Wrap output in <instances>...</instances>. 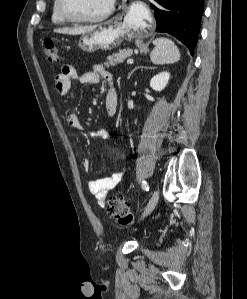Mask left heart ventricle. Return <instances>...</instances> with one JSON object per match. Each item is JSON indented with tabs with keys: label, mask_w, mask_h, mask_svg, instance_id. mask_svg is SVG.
Returning a JSON list of instances; mask_svg holds the SVG:
<instances>
[{
	"label": "left heart ventricle",
	"mask_w": 247,
	"mask_h": 299,
	"mask_svg": "<svg viewBox=\"0 0 247 299\" xmlns=\"http://www.w3.org/2000/svg\"><path fill=\"white\" fill-rule=\"evenodd\" d=\"M112 0H66L68 11L79 17H93L104 12Z\"/></svg>",
	"instance_id": "1"
}]
</instances>
